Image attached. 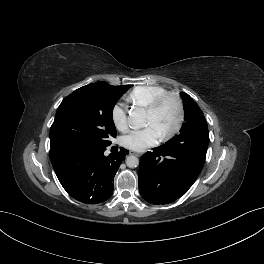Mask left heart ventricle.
<instances>
[{
  "instance_id": "b2bd125f",
  "label": "left heart ventricle",
  "mask_w": 264,
  "mask_h": 264,
  "mask_svg": "<svg viewBox=\"0 0 264 264\" xmlns=\"http://www.w3.org/2000/svg\"><path fill=\"white\" fill-rule=\"evenodd\" d=\"M177 117L176 105L172 99H168L154 114L146 113V124L154 126L162 135L174 127Z\"/></svg>"
}]
</instances>
